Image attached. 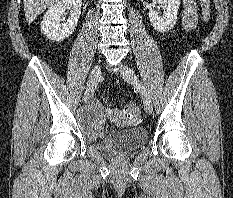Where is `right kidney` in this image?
Returning <instances> with one entry per match:
<instances>
[{
    "label": "right kidney",
    "instance_id": "1",
    "mask_svg": "<svg viewBox=\"0 0 233 198\" xmlns=\"http://www.w3.org/2000/svg\"><path fill=\"white\" fill-rule=\"evenodd\" d=\"M82 0H61L51 6L41 22V31L52 41H63L76 29L81 14ZM71 11V17L66 22L62 16L66 10Z\"/></svg>",
    "mask_w": 233,
    "mask_h": 198
}]
</instances>
